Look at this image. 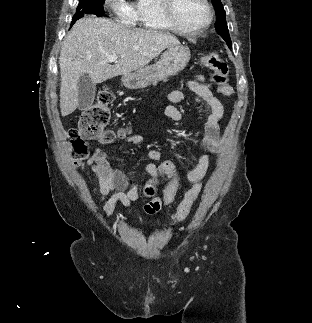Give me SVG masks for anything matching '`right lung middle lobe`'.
Returning a JSON list of instances; mask_svg holds the SVG:
<instances>
[{"label": "right lung middle lobe", "mask_w": 312, "mask_h": 323, "mask_svg": "<svg viewBox=\"0 0 312 323\" xmlns=\"http://www.w3.org/2000/svg\"><path fill=\"white\" fill-rule=\"evenodd\" d=\"M103 1L104 0H79L76 14L72 19L71 26L76 20L82 18L85 14H95L96 16H103Z\"/></svg>", "instance_id": "dd1d6c3e"}]
</instances>
